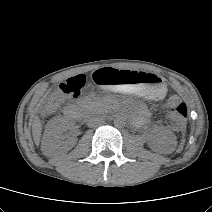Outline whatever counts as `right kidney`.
I'll list each match as a JSON object with an SVG mask.
<instances>
[{
    "instance_id": "right-kidney-1",
    "label": "right kidney",
    "mask_w": 212,
    "mask_h": 212,
    "mask_svg": "<svg viewBox=\"0 0 212 212\" xmlns=\"http://www.w3.org/2000/svg\"><path fill=\"white\" fill-rule=\"evenodd\" d=\"M64 127V125L58 124L53 130L44 133L41 149L45 155L67 152L76 144L75 138L66 140L65 137L61 138V132Z\"/></svg>"
}]
</instances>
